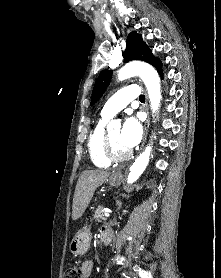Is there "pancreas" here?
<instances>
[{"label": "pancreas", "instance_id": "obj_1", "mask_svg": "<svg viewBox=\"0 0 221 278\" xmlns=\"http://www.w3.org/2000/svg\"><path fill=\"white\" fill-rule=\"evenodd\" d=\"M104 209L101 206H98L94 212V219L97 221H105L106 217L104 216Z\"/></svg>", "mask_w": 221, "mask_h": 278}]
</instances>
